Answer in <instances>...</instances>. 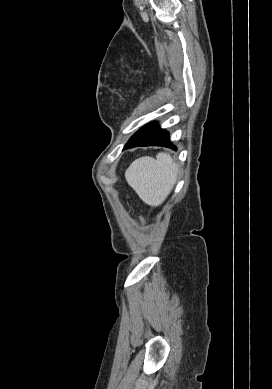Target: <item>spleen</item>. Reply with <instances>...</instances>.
Listing matches in <instances>:
<instances>
[{
    "instance_id": "spleen-1",
    "label": "spleen",
    "mask_w": 272,
    "mask_h": 389,
    "mask_svg": "<svg viewBox=\"0 0 272 389\" xmlns=\"http://www.w3.org/2000/svg\"><path fill=\"white\" fill-rule=\"evenodd\" d=\"M178 167L167 153H158L156 159L145 156L131 163L125 172L127 183L148 205L158 206L171 192Z\"/></svg>"
}]
</instances>
